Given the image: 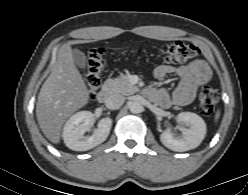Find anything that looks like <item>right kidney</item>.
Returning a JSON list of instances; mask_svg holds the SVG:
<instances>
[{"mask_svg": "<svg viewBox=\"0 0 248 195\" xmlns=\"http://www.w3.org/2000/svg\"><path fill=\"white\" fill-rule=\"evenodd\" d=\"M94 123V114L90 111H80L72 115L64 125L63 140L65 145L74 151H87L103 143L111 130L112 120H99L98 127L91 136H84Z\"/></svg>", "mask_w": 248, "mask_h": 195, "instance_id": "1", "label": "right kidney"}]
</instances>
